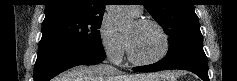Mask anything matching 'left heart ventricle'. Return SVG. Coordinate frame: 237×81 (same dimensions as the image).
I'll use <instances>...</instances> for the list:
<instances>
[{
	"label": "left heart ventricle",
	"instance_id": "obj_1",
	"mask_svg": "<svg viewBox=\"0 0 237 81\" xmlns=\"http://www.w3.org/2000/svg\"><path fill=\"white\" fill-rule=\"evenodd\" d=\"M132 51L139 59H152L158 56L164 47V41L154 26H139L134 22L126 32Z\"/></svg>",
	"mask_w": 237,
	"mask_h": 81
}]
</instances>
